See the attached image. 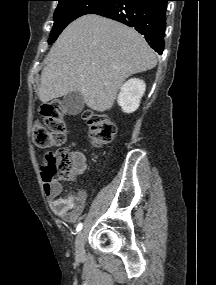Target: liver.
Listing matches in <instances>:
<instances>
[{"instance_id": "obj_1", "label": "liver", "mask_w": 216, "mask_h": 285, "mask_svg": "<svg viewBox=\"0 0 216 285\" xmlns=\"http://www.w3.org/2000/svg\"><path fill=\"white\" fill-rule=\"evenodd\" d=\"M156 64L155 53L135 29L85 15L69 24L51 48L38 96L47 103L79 92L88 107L104 112L126 78Z\"/></svg>"}]
</instances>
